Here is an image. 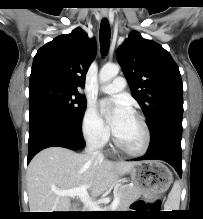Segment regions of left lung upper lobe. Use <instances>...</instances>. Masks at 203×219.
I'll return each instance as SVG.
<instances>
[{
	"label": "left lung upper lobe",
	"instance_id": "1",
	"mask_svg": "<svg viewBox=\"0 0 203 219\" xmlns=\"http://www.w3.org/2000/svg\"><path fill=\"white\" fill-rule=\"evenodd\" d=\"M117 60L133 97L143 109L151 134L171 120L182 119L181 75L162 46L133 31L119 47Z\"/></svg>",
	"mask_w": 203,
	"mask_h": 219
}]
</instances>
